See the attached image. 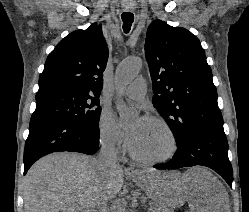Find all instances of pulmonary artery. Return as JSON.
I'll list each match as a JSON object with an SVG mask.
<instances>
[{"label": "pulmonary artery", "instance_id": "obj_1", "mask_svg": "<svg viewBox=\"0 0 249 212\" xmlns=\"http://www.w3.org/2000/svg\"><path fill=\"white\" fill-rule=\"evenodd\" d=\"M147 92V82L144 78L135 79L123 89V94L133 100H142Z\"/></svg>", "mask_w": 249, "mask_h": 212}]
</instances>
